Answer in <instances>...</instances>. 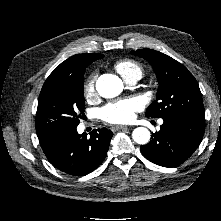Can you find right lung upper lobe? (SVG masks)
<instances>
[{"mask_svg":"<svg viewBox=\"0 0 221 221\" xmlns=\"http://www.w3.org/2000/svg\"><path fill=\"white\" fill-rule=\"evenodd\" d=\"M101 54H77L62 62L51 74L52 76L66 75L75 77L85 72L86 67L93 61L103 58Z\"/></svg>","mask_w":221,"mask_h":221,"instance_id":"right-lung-upper-lobe-1","label":"right lung upper lobe"}]
</instances>
